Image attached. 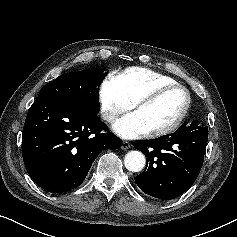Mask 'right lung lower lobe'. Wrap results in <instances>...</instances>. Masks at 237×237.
<instances>
[{
  "label": "right lung lower lobe",
  "mask_w": 237,
  "mask_h": 237,
  "mask_svg": "<svg viewBox=\"0 0 237 237\" xmlns=\"http://www.w3.org/2000/svg\"><path fill=\"white\" fill-rule=\"evenodd\" d=\"M96 114L65 102L40 98L32 104L22 134L27 172L41 188L61 193L78 187L96 157L122 140Z\"/></svg>",
  "instance_id": "1"
}]
</instances>
